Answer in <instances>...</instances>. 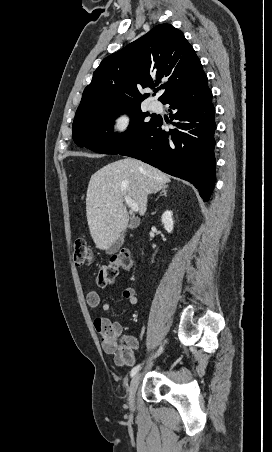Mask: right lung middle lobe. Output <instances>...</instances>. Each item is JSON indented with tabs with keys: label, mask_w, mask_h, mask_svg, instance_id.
Returning <instances> with one entry per match:
<instances>
[{
	"label": "right lung middle lobe",
	"mask_w": 272,
	"mask_h": 452,
	"mask_svg": "<svg viewBox=\"0 0 272 452\" xmlns=\"http://www.w3.org/2000/svg\"><path fill=\"white\" fill-rule=\"evenodd\" d=\"M130 116V125L124 133H113V120L120 114ZM140 104L116 109H98L75 117L73 140L80 147L89 148L101 154H119L138 141L146 129L155 121L146 117Z\"/></svg>",
	"instance_id": "dd1d6c3e"
}]
</instances>
